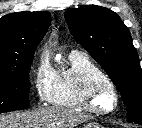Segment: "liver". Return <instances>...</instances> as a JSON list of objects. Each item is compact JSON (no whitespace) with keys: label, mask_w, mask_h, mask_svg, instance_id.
Instances as JSON below:
<instances>
[{"label":"liver","mask_w":142,"mask_h":128,"mask_svg":"<svg viewBox=\"0 0 142 128\" xmlns=\"http://www.w3.org/2000/svg\"><path fill=\"white\" fill-rule=\"evenodd\" d=\"M88 119L74 110L52 107L0 115V128H74Z\"/></svg>","instance_id":"6515ba94"}]
</instances>
